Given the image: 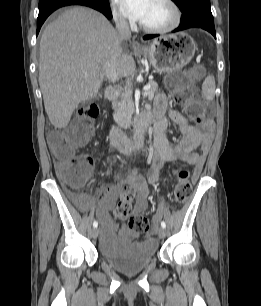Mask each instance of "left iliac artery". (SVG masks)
I'll return each mask as SVG.
<instances>
[{
	"label": "left iliac artery",
	"mask_w": 261,
	"mask_h": 306,
	"mask_svg": "<svg viewBox=\"0 0 261 306\" xmlns=\"http://www.w3.org/2000/svg\"><path fill=\"white\" fill-rule=\"evenodd\" d=\"M161 227L166 228V223L164 221L161 222Z\"/></svg>",
	"instance_id": "left-iliac-artery-1"
}]
</instances>
